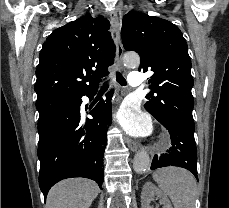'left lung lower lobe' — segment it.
<instances>
[{
  "label": "left lung lower lobe",
  "instance_id": "obj_1",
  "mask_svg": "<svg viewBox=\"0 0 229 208\" xmlns=\"http://www.w3.org/2000/svg\"><path fill=\"white\" fill-rule=\"evenodd\" d=\"M171 135L172 146L166 154L155 156L151 170L165 166H178L197 176V148L194 140V127L183 121H165L157 119Z\"/></svg>",
  "mask_w": 229,
  "mask_h": 208
}]
</instances>
